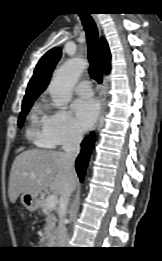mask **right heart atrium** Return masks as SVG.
I'll use <instances>...</instances> for the list:
<instances>
[{
    "mask_svg": "<svg viewBox=\"0 0 162 261\" xmlns=\"http://www.w3.org/2000/svg\"><path fill=\"white\" fill-rule=\"evenodd\" d=\"M41 125V140L49 146H71L81 139V132L65 109L53 110L44 117Z\"/></svg>",
    "mask_w": 162,
    "mask_h": 261,
    "instance_id": "1",
    "label": "right heart atrium"
}]
</instances>
